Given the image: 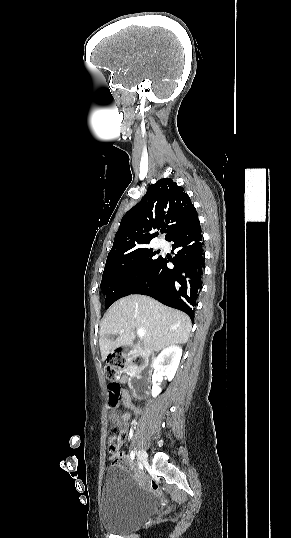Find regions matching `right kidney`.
<instances>
[{"label": "right kidney", "instance_id": "1", "mask_svg": "<svg viewBox=\"0 0 291 538\" xmlns=\"http://www.w3.org/2000/svg\"><path fill=\"white\" fill-rule=\"evenodd\" d=\"M181 356L182 348L178 345H171L162 350L154 361L153 367L155 371L152 376L153 385L151 390V394L154 398L157 397L162 391L160 387V380L162 379V375L165 374L169 381L174 378L180 363Z\"/></svg>", "mask_w": 291, "mask_h": 538}]
</instances>
